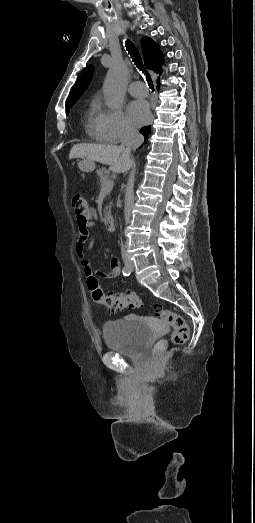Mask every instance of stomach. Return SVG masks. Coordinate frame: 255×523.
I'll return each instance as SVG.
<instances>
[{
    "label": "stomach",
    "mask_w": 255,
    "mask_h": 523,
    "mask_svg": "<svg viewBox=\"0 0 255 523\" xmlns=\"http://www.w3.org/2000/svg\"><path fill=\"white\" fill-rule=\"evenodd\" d=\"M79 168L82 172H93L95 164L92 160H82V162H79Z\"/></svg>",
    "instance_id": "1"
}]
</instances>
